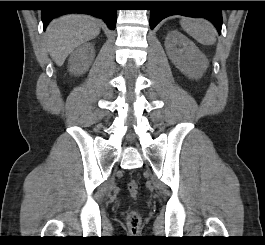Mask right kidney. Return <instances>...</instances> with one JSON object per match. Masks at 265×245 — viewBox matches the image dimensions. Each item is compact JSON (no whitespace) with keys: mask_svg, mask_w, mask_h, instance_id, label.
<instances>
[{"mask_svg":"<svg viewBox=\"0 0 265 245\" xmlns=\"http://www.w3.org/2000/svg\"><path fill=\"white\" fill-rule=\"evenodd\" d=\"M95 57L94 44L86 43L77 48L68 60L69 71L74 75L85 73Z\"/></svg>","mask_w":265,"mask_h":245,"instance_id":"1","label":"right kidney"}]
</instances>
